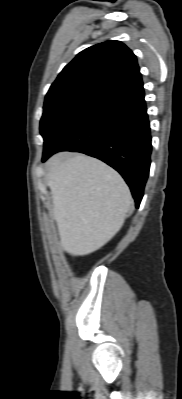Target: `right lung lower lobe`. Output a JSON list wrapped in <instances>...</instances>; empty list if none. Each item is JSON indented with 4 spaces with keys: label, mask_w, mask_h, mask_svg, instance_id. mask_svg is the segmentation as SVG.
<instances>
[{
    "label": "right lung lower lobe",
    "mask_w": 182,
    "mask_h": 399,
    "mask_svg": "<svg viewBox=\"0 0 182 399\" xmlns=\"http://www.w3.org/2000/svg\"><path fill=\"white\" fill-rule=\"evenodd\" d=\"M151 150L142 86L105 100L73 123L44 151L42 161L58 151L96 157L123 176L138 208L149 175Z\"/></svg>",
    "instance_id": "obj_1"
}]
</instances>
